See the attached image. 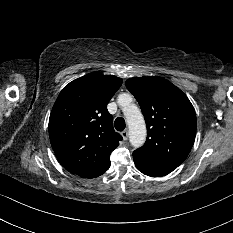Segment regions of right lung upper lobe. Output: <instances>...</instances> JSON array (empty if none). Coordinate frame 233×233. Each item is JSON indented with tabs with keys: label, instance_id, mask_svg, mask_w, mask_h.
I'll list each match as a JSON object with an SVG mask.
<instances>
[{
	"label": "right lung upper lobe",
	"instance_id": "right-lung-upper-lobe-1",
	"mask_svg": "<svg viewBox=\"0 0 233 233\" xmlns=\"http://www.w3.org/2000/svg\"><path fill=\"white\" fill-rule=\"evenodd\" d=\"M122 79L97 72L70 82L50 114L49 136L60 164L84 178H95L110 167V154L122 136L113 129L106 106Z\"/></svg>",
	"mask_w": 233,
	"mask_h": 233
}]
</instances>
